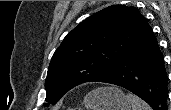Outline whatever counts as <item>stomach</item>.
<instances>
[{
  "mask_svg": "<svg viewBox=\"0 0 171 110\" xmlns=\"http://www.w3.org/2000/svg\"><path fill=\"white\" fill-rule=\"evenodd\" d=\"M87 110H130L131 104L117 87H101L84 98Z\"/></svg>",
  "mask_w": 171,
  "mask_h": 110,
  "instance_id": "1",
  "label": "stomach"
}]
</instances>
